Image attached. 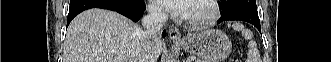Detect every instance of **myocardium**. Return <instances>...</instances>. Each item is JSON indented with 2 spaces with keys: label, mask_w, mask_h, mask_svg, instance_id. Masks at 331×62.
<instances>
[{
  "label": "myocardium",
  "mask_w": 331,
  "mask_h": 62,
  "mask_svg": "<svg viewBox=\"0 0 331 62\" xmlns=\"http://www.w3.org/2000/svg\"><path fill=\"white\" fill-rule=\"evenodd\" d=\"M204 2L209 7V14L206 17L185 19V24L191 28L199 29L212 25L220 17L219 4L215 0H198Z\"/></svg>",
  "instance_id": "myocardium-1"
}]
</instances>
